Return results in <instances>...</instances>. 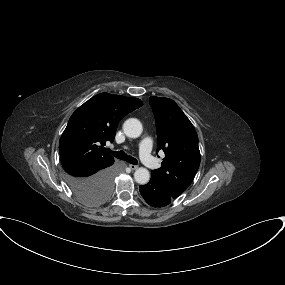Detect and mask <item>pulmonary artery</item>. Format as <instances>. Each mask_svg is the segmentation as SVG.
<instances>
[{
    "label": "pulmonary artery",
    "instance_id": "e3ab8cb5",
    "mask_svg": "<svg viewBox=\"0 0 285 285\" xmlns=\"http://www.w3.org/2000/svg\"><path fill=\"white\" fill-rule=\"evenodd\" d=\"M151 139L144 138L139 144V156L141 161L149 168L157 166L156 160L151 155Z\"/></svg>",
    "mask_w": 285,
    "mask_h": 285
}]
</instances>
